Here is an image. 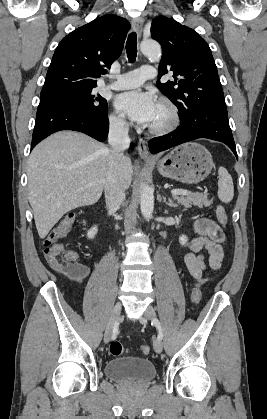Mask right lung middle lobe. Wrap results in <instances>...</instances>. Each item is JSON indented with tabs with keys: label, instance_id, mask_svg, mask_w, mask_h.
Returning <instances> with one entry per match:
<instances>
[{
	"label": "right lung middle lobe",
	"instance_id": "right-lung-middle-lobe-1",
	"mask_svg": "<svg viewBox=\"0 0 267 419\" xmlns=\"http://www.w3.org/2000/svg\"><path fill=\"white\" fill-rule=\"evenodd\" d=\"M46 96L74 105L90 115H101L107 111L106 99L99 94H94L93 88L68 86L52 92L41 93V97Z\"/></svg>",
	"mask_w": 267,
	"mask_h": 419
}]
</instances>
